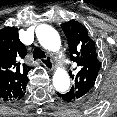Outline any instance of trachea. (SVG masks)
<instances>
[{
    "instance_id": "obj_1",
    "label": "trachea",
    "mask_w": 117,
    "mask_h": 117,
    "mask_svg": "<svg viewBox=\"0 0 117 117\" xmlns=\"http://www.w3.org/2000/svg\"><path fill=\"white\" fill-rule=\"evenodd\" d=\"M33 58H34V60L45 59L46 55H45L44 51H42L40 48L37 47L33 51Z\"/></svg>"
}]
</instances>
